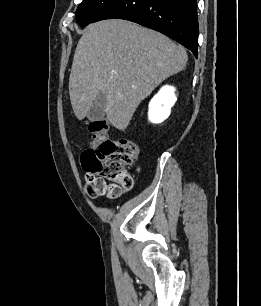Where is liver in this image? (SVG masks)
<instances>
[{"instance_id":"liver-1","label":"liver","mask_w":261,"mask_h":306,"mask_svg":"<svg viewBox=\"0 0 261 306\" xmlns=\"http://www.w3.org/2000/svg\"><path fill=\"white\" fill-rule=\"evenodd\" d=\"M187 61L186 50L157 31L122 19L93 23L77 44L69 77L75 116L84 119L103 92L107 120L124 131L140 102Z\"/></svg>"}]
</instances>
